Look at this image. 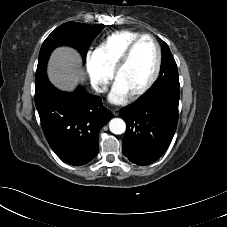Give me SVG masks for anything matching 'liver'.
<instances>
[{"mask_svg": "<svg viewBox=\"0 0 227 227\" xmlns=\"http://www.w3.org/2000/svg\"><path fill=\"white\" fill-rule=\"evenodd\" d=\"M80 54L70 47L55 49L50 57L47 74L50 81L59 89L73 91L84 80Z\"/></svg>", "mask_w": 227, "mask_h": 227, "instance_id": "6515ba94", "label": "liver"}]
</instances>
